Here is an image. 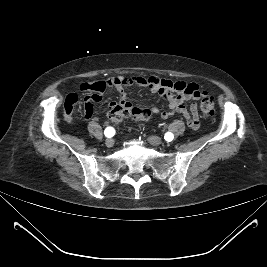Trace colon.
<instances>
[{
    "label": "colon",
    "instance_id": "colon-1",
    "mask_svg": "<svg viewBox=\"0 0 267 267\" xmlns=\"http://www.w3.org/2000/svg\"><path fill=\"white\" fill-rule=\"evenodd\" d=\"M200 109L207 117H213L215 106L212 98L204 96L200 102ZM150 116L151 111L144 107L115 108L108 112V119L113 124L120 123L124 117H131L136 121H146Z\"/></svg>",
    "mask_w": 267,
    "mask_h": 267
}]
</instances>
